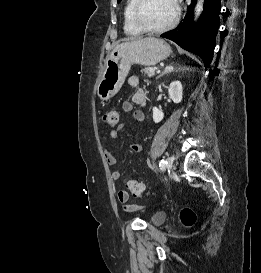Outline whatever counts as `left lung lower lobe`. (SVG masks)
Instances as JSON below:
<instances>
[{
	"label": "left lung lower lobe",
	"instance_id": "obj_1",
	"mask_svg": "<svg viewBox=\"0 0 261 273\" xmlns=\"http://www.w3.org/2000/svg\"><path fill=\"white\" fill-rule=\"evenodd\" d=\"M194 2L188 6L184 20L172 31L161 37L170 39L180 47L199 55L207 68L212 59L215 48V36L219 28L220 0H205L203 14L194 24Z\"/></svg>",
	"mask_w": 261,
	"mask_h": 273
}]
</instances>
